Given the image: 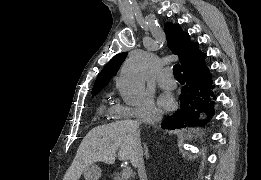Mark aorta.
I'll return each mask as SVG.
<instances>
[{
  "instance_id": "762f6f07",
  "label": "aorta",
  "mask_w": 261,
  "mask_h": 180,
  "mask_svg": "<svg viewBox=\"0 0 261 180\" xmlns=\"http://www.w3.org/2000/svg\"><path fill=\"white\" fill-rule=\"evenodd\" d=\"M146 72L147 64L139 56H131L124 62L116 85L126 104L131 106L141 104L145 90Z\"/></svg>"
}]
</instances>
